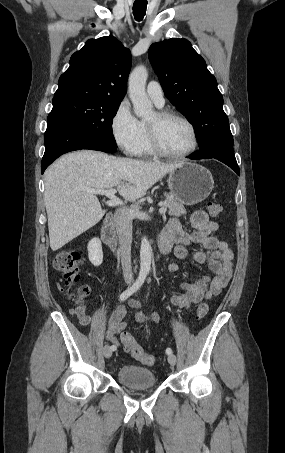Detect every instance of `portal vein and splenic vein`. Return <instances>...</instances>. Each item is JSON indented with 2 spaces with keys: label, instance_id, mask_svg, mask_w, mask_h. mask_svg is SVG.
Returning a JSON list of instances; mask_svg holds the SVG:
<instances>
[{
  "label": "portal vein and splenic vein",
  "instance_id": "1",
  "mask_svg": "<svg viewBox=\"0 0 285 453\" xmlns=\"http://www.w3.org/2000/svg\"><path fill=\"white\" fill-rule=\"evenodd\" d=\"M84 191L91 193V194H99V195H105L110 199L108 202L109 205L116 206L119 204H122L123 202L115 196L116 190L113 188H110L108 190L105 189H93V188H83ZM166 207L161 205V208L159 209V212L161 214H164L166 212Z\"/></svg>",
  "mask_w": 285,
  "mask_h": 453
}]
</instances>
